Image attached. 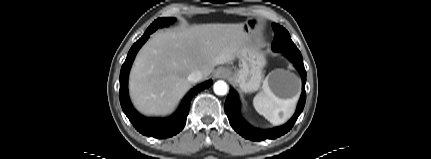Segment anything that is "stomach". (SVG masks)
<instances>
[{"instance_id":"stomach-1","label":"stomach","mask_w":431,"mask_h":159,"mask_svg":"<svg viewBox=\"0 0 431 159\" xmlns=\"http://www.w3.org/2000/svg\"><path fill=\"white\" fill-rule=\"evenodd\" d=\"M257 28V21L249 19L244 23V29L248 35ZM266 60L258 49L249 42L239 56V66L231 70V81L245 93L257 91L262 82V70ZM270 90L278 98L291 99L299 94L300 80L289 72L277 70L270 73L266 79Z\"/></svg>"}]
</instances>
